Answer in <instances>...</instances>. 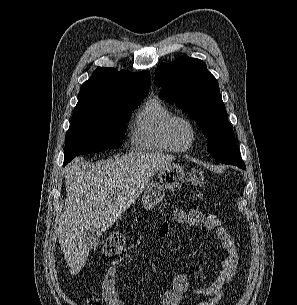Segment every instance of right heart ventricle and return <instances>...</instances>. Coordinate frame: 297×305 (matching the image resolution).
I'll return each instance as SVG.
<instances>
[{"instance_id":"right-heart-ventricle-1","label":"right heart ventricle","mask_w":297,"mask_h":305,"mask_svg":"<svg viewBox=\"0 0 297 305\" xmlns=\"http://www.w3.org/2000/svg\"><path fill=\"white\" fill-rule=\"evenodd\" d=\"M173 116V110L162 100H147L136 113L133 122V148L138 151L177 152L166 132L167 123Z\"/></svg>"}]
</instances>
